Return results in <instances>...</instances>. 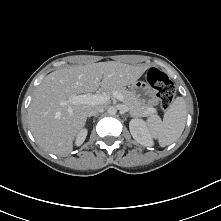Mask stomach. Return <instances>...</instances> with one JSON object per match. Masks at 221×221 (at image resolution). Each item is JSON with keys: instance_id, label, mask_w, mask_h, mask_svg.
I'll return each mask as SVG.
<instances>
[{"instance_id": "stomach-1", "label": "stomach", "mask_w": 221, "mask_h": 221, "mask_svg": "<svg viewBox=\"0 0 221 221\" xmlns=\"http://www.w3.org/2000/svg\"><path fill=\"white\" fill-rule=\"evenodd\" d=\"M130 90L142 104L148 106L151 105V102L149 101L151 87L148 83L144 81H135L131 84Z\"/></svg>"}]
</instances>
